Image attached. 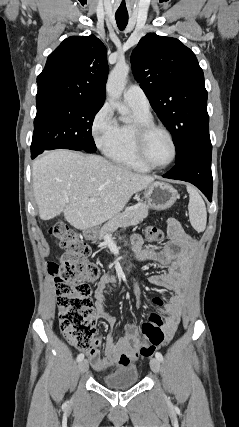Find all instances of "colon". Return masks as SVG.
<instances>
[{
    "label": "colon",
    "mask_w": 239,
    "mask_h": 427,
    "mask_svg": "<svg viewBox=\"0 0 239 427\" xmlns=\"http://www.w3.org/2000/svg\"><path fill=\"white\" fill-rule=\"evenodd\" d=\"M50 234L55 237L63 252L59 263L48 262L47 270L54 277L58 299L60 328L67 340L82 351L94 346L95 315L91 299L92 285L100 278V267L90 262L89 246L67 225H53ZM163 233L156 227L146 230L149 242L160 241ZM162 296H151V305H162ZM158 308H153L142 324L140 355L150 356L165 338L164 322Z\"/></svg>",
    "instance_id": "5ec220e1"
}]
</instances>
